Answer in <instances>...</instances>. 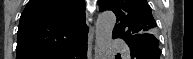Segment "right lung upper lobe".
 I'll list each match as a JSON object with an SVG mask.
<instances>
[{
    "instance_id": "1",
    "label": "right lung upper lobe",
    "mask_w": 193,
    "mask_h": 59,
    "mask_svg": "<svg viewBox=\"0 0 193 59\" xmlns=\"http://www.w3.org/2000/svg\"><path fill=\"white\" fill-rule=\"evenodd\" d=\"M87 32L83 0H30L20 18L16 59H53Z\"/></svg>"
}]
</instances>
